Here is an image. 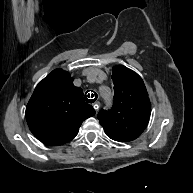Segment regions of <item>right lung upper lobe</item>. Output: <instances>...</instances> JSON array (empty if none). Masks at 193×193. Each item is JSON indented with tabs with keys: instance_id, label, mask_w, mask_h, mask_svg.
Returning <instances> with one entry per match:
<instances>
[{
	"instance_id": "right-lung-upper-lobe-1",
	"label": "right lung upper lobe",
	"mask_w": 193,
	"mask_h": 193,
	"mask_svg": "<svg viewBox=\"0 0 193 193\" xmlns=\"http://www.w3.org/2000/svg\"><path fill=\"white\" fill-rule=\"evenodd\" d=\"M95 114L83 100V91L73 85L68 72L55 69L35 88L26 107V119L34 136L47 145L72 140L81 123Z\"/></svg>"
}]
</instances>
